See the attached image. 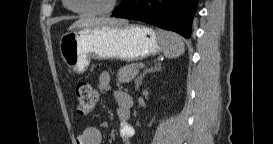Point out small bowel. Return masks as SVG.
Segmentation results:
<instances>
[{"label":"small bowel","instance_id":"c3829d8e","mask_svg":"<svg viewBox=\"0 0 273 144\" xmlns=\"http://www.w3.org/2000/svg\"><path fill=\"white\" fill-rule=\"evenodd\" d=\"M111 82V75L109 72H102L98 78V85L101 90H108ZM128 95L124 93H116L115 100L117 104V115L121 120L120 124V138L123 143H131L132 137L134 135V128L129 123L130 110L126 109L122 101ZM102 141V134L100 130L96 127H86L83 131L76 137L75 144H100Z\"/></svg>","mask_w":273,"mask_h":144}]
</instances>
